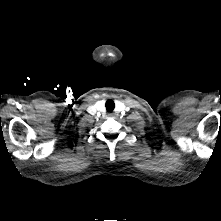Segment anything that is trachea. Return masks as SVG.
<instances>
[{
	"label": "trachea",
	"mask_w": 221,
	"mask_h": 221,
	"mask_svg": "<svg viewBox=\"0 0 221 221\" xmlns=\"http://www.w3.org/2000/svg\"><path fill=\"white\" fill-rule=\"evenodd\" d=\"M114 102L112 100H108L106 103V109L107 111H112L114 109Z\"/></svg>",
	"instance_id": "3493384b"
}]
</instances>
